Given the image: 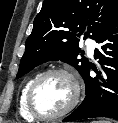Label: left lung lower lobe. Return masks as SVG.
I'll use <instances>...</instances> for the list:
<instances>
[{
  "label": "left lung lower lobe",
  "instance_id": "0a47b994",
  "mask_svg": "<svg viewBox=\"0 0 118 123\" xmlns=\"http://www.w3.org/2000/svg\"><path fill=\"white\" fill-rule=\"evenodd\" d=\"M100 49L94 57L100 69L88 66L82 76L86 84V97L80 106L63 121L108 117L118 120V17L96 38ZM94 69L97 77L89 75Z\"/></svg>",
  "mask_w": 118,
  "mask_h": 123
}]
</instances>
